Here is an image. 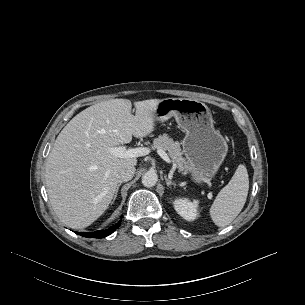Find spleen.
<instances>
[{"label": "spleen", "instance_id": "3e777b00", "mask_svg": "<svg viewBox=\"0 0 305 305\" xmlns=\"http://www.w3.org/2000/svg\"><path fill=\"white\" fill-rule=\"evenodd\" d=\"M248 190L247 169L240 164L229 183L220 190L210 207L212 221L219 227L229 225L243 209Z\"/></svg>", "mask_w": 305, "mask_h": 305}]
</instances>
